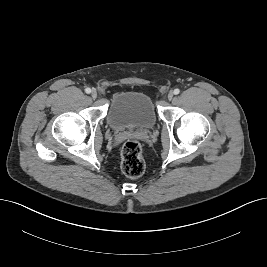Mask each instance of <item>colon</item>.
<instances>
[{
  "instance_id": "obj_1",
  "label": "colon",
  "mask_w": 267,
  "mask_h": 267,
  "mask_svg": "<svg viewBox=\"0 0 267 267\" xmlns=\"http://www.w3.org/2000/svg\"><path fill=\"white\" fill-rule=\"evenodd\" d=\"M121 167L123 173L129 178H138L144 173L142 147L138 141L130 140L123 145Z\"/></svg>"
}]
</instances>
